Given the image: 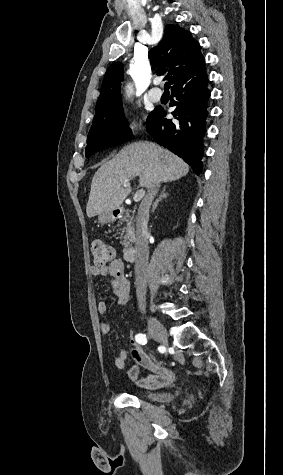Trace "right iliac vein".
<instances>
[{
	"instance_id": "right-iliac-vein-1",
	"label": "right iliac vein",
	"mask_w": 283,
	"mask_h": 475,
	"mask_svg": "<svg viewBox=\"0 0 283 475\" xmlns=\"http://www.w3.org/2000/svg\"><path fill=\"white\" fill-rule=\"evenodd\" d=\"M147 325L150 332V335L157 341L166 343L167 342V332L164 325L158 321L156 318H148Z\"/></svg>"
}]
</instances>
